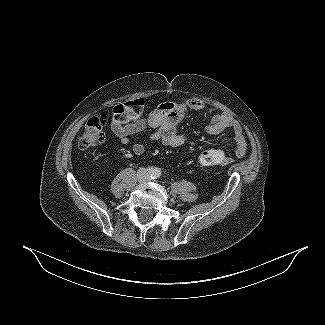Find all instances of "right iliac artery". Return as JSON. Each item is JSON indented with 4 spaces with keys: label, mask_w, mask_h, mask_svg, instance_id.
I'll return each instance as SVG.
<instances>
[{
    "label": "right iliac artery",
    "mask_w": 325,
    "mask_h": 325,
    "mask_svg": "<svg viewBox=\"0 0 325 325\" xmlns=\"http://www.w3.org/2000/svg\"><path fill=\"white\" fill-rule=\"evenodd\" d=\"M147 171H148L149 174H151V176L154 175V173H155V169L152 168V167L148 168Z\"/></svg>",
    "instance_id": "obj_1"
}]
</instances>
